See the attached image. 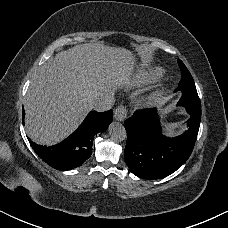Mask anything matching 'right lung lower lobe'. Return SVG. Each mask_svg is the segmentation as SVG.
Instances as JSON below:
<instances>
[{
    "label": "right lung lower lobe",
    "mask_w": 228,
    "mask_h": 228,
    "mask_svg": "<svg viewBox=\"0 0 228 228\" xmlns=\"http://www.w3.org/2000/svg\"><path fill=\"white\" fill-rule=\"evenodd\" d=\"M112 119V110L101 113L91 111L78 129L57 145L46 147L28 140L36 154L48 165L58 170H70L90 157L94 136L104 132Z\"/></svg>",
    "instance_id": "98d812e1"
}]
</instances>
